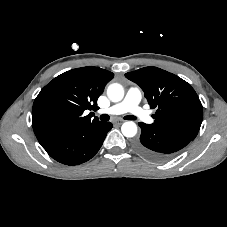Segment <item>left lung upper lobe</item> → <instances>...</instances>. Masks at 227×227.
<instances>
[{"label":"left lung upper lobe","mask_w":227,"mask_h":227,"mask_svg":"<svg viewBox=\"0 0 227 227\" xmlns=\"http://www.w3.org/2000/svg\"><path fill=\"white\" fill-rule=\"evenodd\" d=\"M125 76L141 87L151 108H158L151 126L195 139L202 123L203 108L189 83L157 67H144Z\"/></svg>","instance_id":"obj_1"}]
</instances>
